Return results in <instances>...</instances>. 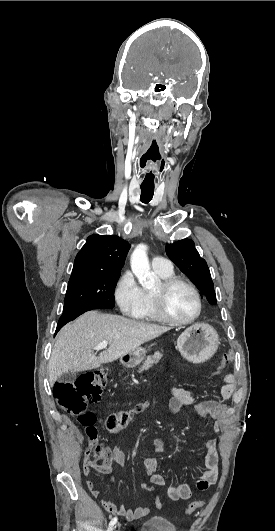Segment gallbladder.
I'll use <instances>...</instances> for the list:
<instances>
[{"label": "gallbladder", "instance_id": "gallbladder-1", "mask_svg": "<svg viewBox=\"0 0 275 531\" xmlns=\"http://www.w3.org/2000/svg\"><path fill=\"white\" fill-rule=\"evenodd\" d=\"M76 379V373H67V375H63V377H60L59 383H74Z\"/></svg>", "mask_w": 275, "mask_h": 531}]
</instances>
